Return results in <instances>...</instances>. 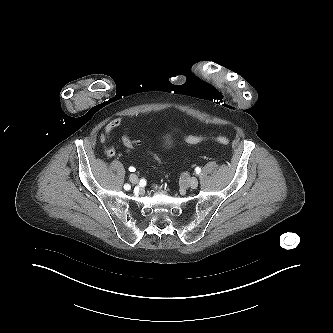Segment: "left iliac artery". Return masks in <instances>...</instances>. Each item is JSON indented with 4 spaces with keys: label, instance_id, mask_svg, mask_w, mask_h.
<instances>
[{
    "label": "left iliac artery",
    "instance_id": "left-iliac-artery-1",
    "mask_svg": "<svg viewBox=\"0 0 333 333\" xmlns=\"http://www.w3.org/2000/svg\"><path fill=\"white\" fill-rule=\"evenodd\" d=\"M200 172H201V169H200L199 167H196V169H195V173H196V175H199Z\"/></svg>",
    "mask_w": 333,
    "mask_h": 333
}]
</instances>
